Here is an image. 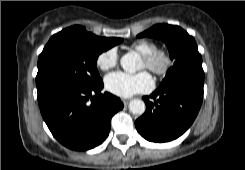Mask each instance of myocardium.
<instances>
[{"mask_svg": "<svg viewBox=\"0 0 245 170\" xmlns=\"http://www.w3.org/2000/svg\"><path fill=\"white\" fill-rule=\"evenodd\" d=\"M143 60L146 62V68L159 76L167 74L173 64L171 54L164 49H156L143 55Z\"/></svg>", "mask_w": 245, "mask_h": 170, "instance_id": "1", "label": "myocardium"}]
</instances>
